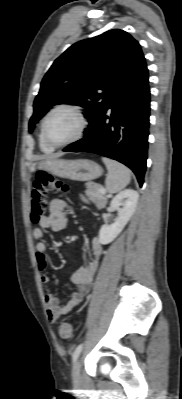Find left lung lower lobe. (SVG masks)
I'll return each instance as SVG.
<instances>
[{"label":"left lung lower lobe","mask_w":182,"mask_h":399,"mask_svg":"<svg viewBox=\"0 0 182 399\" xmlns=\"http://www.w3.org/2000/svg\"><path fill=\"white\" fill-rule=\"evenodd\" d=\"M111 109V114L107 112ZM150 116L148 70L144 64L111 96L105 110L84 138L63 151L90 152L117 160L136 175L140 186L146 171Z\"/></svg>","instance_id":"left-lung-lower-lobe-1"}]
</instances>
